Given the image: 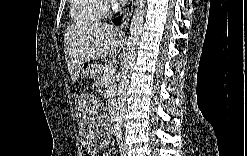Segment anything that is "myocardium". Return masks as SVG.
<instances>
[{
    "instance_id": "myocardium-1",
    "label": "myocardium",
    "mask_w": 247,
    "mask_h": 156,
    "mask_svg": "<svg viewBox=\"0 0 247 156\" xmlns=\"http://www.w3.org/2000/svg\"><path fill=\"white\" fill-rule=\"evenodd\" d=\"M113 11V7L110 3H101V12L105 15L110 14Z\"/></svg>"
}]
</instances>
